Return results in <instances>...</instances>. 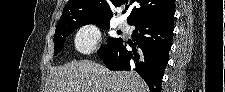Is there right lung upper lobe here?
I'll use <instances>...</instances> for the list:
<instances>
[{
    "label": "right lung upper lobe",
    "instance_id": "cb5924a9",
    "mask_svg": "<svg viewBox=\"0 0 225 92\" xmlns=\"http://www.w3.org/2000/svg\"><path fill=\"white\" fill-rule=\"evenodd\" d=\"M133 3L136 6L127 18L130 25L144 19L167 18L175 12L173 0H69L57 27L68 26L80 20L109 22L113 16L110 4L115 7L126 4L128 8Z\"/></svg>",
    "mask_w": 225,
    "mask_h": 92
}]
</instances>
